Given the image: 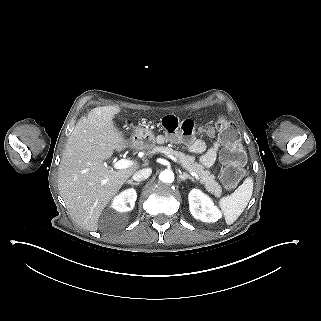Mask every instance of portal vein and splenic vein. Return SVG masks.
Returning <instances> with one entry per match:
<instances>
[{"label":"portal vein and splenic vein","mask_w":321,"mask_h":321,"mask_svg":"<svg viewBox=\"0 0 321 321\" xmlns=\"http://www.w3.org/2000/svg\"><path fill=\"white\" fill-rule=\"evenodd\" d=\"M167 157H170L175 162H178V159L174 155L167 154ZM129 164H130V161L125 160V159H121V160L114 162L113 167H114V169H124L127 166H129Z\"/></svg>","instance_id":"portal-vein-and-splenic-vein-1"}]
</instances>
